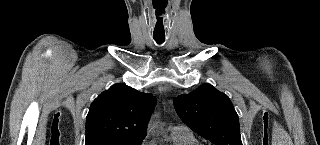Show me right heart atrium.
I'll return each instance as SVG.
<instances>
[{"mask_svg": "<svg viewBox=\"0 0 320 145\" xmlns=\"http://www.w3.org/2000/svg\"><path fill=\"white\" fill-rule=\"evenodd\" d=\"M147 141H148V138H145V139L143 140V143L145 144V143H147Z\"/></svg>", "mask_w": 320, "mask_h": 145, "instance_id": "1", "label": "right heart atrium"}]
</instances>
